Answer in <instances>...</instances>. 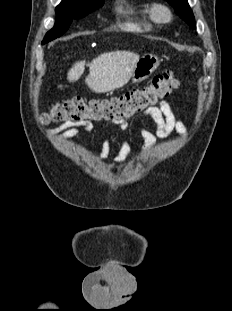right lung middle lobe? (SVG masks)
<instances>
[{
  "instance_id": "dd1d6c3e",
  "label": "right lung middle lobe",
  "mask_w": 232,
  "mask_h": 311,
  "mask_svg": "<svg viewBox=\"0 0 232 311\" xmlns=\"http://www.w3.org/2000/svg\"><path fill=\"white\" fill-rule=\"evenodd\" d=\"M102 4L103 1L95 0H62L55 9L57 15L55 25L47 32L42 44L60 37L68 30L69 25L74 19L88 15Z\"/></svg>"
}]
</instances>
